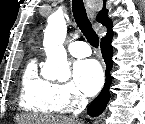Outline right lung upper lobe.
<instances>
[{"label": "right lung upper lobe", "mask_w": 145, "mask_h": 124, "mask_svg": "<svg viewBox=\"0 0 145 124\" xmlns=\"http://www.w3.org/2000/svg\"><path fill=\"white\" fill-rule=\"evenodd\" d=\"M105 1L104 0V5H103V8L102 10L98 13L97 17H96V20L98 22H100L101 24L105 25L109 30L112 29V23H111V20L108 18L107 16V13H108V10H106V7H105Z\"/></svg>", "instance_id": "obj_1"}]
</instances>
